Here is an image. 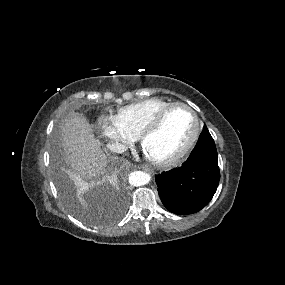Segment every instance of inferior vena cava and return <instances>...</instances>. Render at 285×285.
I'll list each match as a JSON object with an SVG mask.
<instances>
[{
	"label": "inferior vena cava",
	"instance_id": "inferior-vena-cava-1",
	"mask_svg": "<svg viewBox=\"0 0 285 285\" xmlns=\"http://www.w3.org/2000/svg\"><path fill=\"white\" fill-rule=\"evenodd\" d=\"M107 147L110 151L115 153H123L127 150V147L124 144L119 143L117 141L109 143Z\"/></svg>",
	"mask_w": 285,
	"mask_h": 285
}]
</instances>
